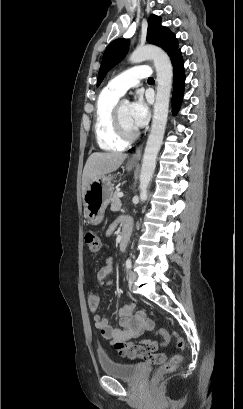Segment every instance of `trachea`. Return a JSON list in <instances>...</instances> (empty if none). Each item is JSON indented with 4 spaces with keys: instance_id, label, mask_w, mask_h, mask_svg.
<instances>
[{
    "instance_id": "trachea-1",
    "label": "trachea",
    "mask_w": 243,
    "mask_h": 409,
    "mask_svg": "<svg viewBox=\"0 0 243 409\" xmlns=\"http://www.w3.org/2000/svg\"><path fill=\"white\" fill-rule=\"evenodd\" d=\"M148 81H154V79L152 77H149Z\"/></svg>"
}]
</instances>
